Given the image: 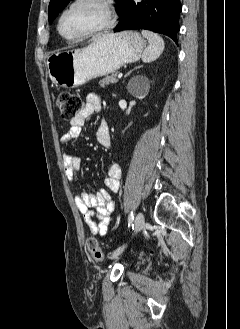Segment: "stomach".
I'll return each mask as SVG.
<instances>
[{
  "label": "stomach",
  "mask_w": 240,
  "mask_h": 329,
  "mask_svg": "<svg viewBox=\"0 0 240 329\" xmlns=\"http://www.w3.org/2000/svg\"><path fill=\"white\" fill-rule=\"evenodd\" d=\"M144 46L145 40L135 31L100 34L82 49L51 54L47 59L48 73L61 87H79L138 61Z\"/></svg>",
  "instance_id": "0dacf381"
}]
</instances>
